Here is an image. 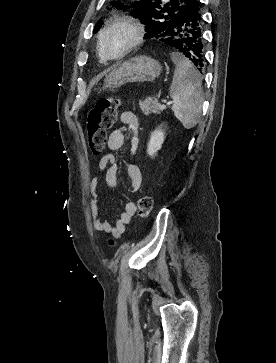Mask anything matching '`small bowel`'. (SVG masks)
I'll list each match as a JSON object with an SVG mask.
<instances>
[{"label":"small bowel","instance_id":"obj_1","mask_svg":"<svg viewBox=\"0 0 276 363\" xmlns=\"http://www.w3.org/2000/svg\"><path fill=\"white\" fill-rule=\"evenodd\" d=\"M121 127L113 130L108 137V148L117 151L124 144V127H128L133 132L131 139V154H135L138 144L139 121L137 116L131 111H124L120 114ZM99 169L104 171V179L107 186L115 188L118 184V167L116 157L113 154L105 155L99 162ZM126 169L131 181L132 188L138 191L143 184L142 175L136 163L130 159L126 163ZM99 177H94L90 182V210L93 226L97 231L108 233L114 237H120L126 230V226L131 222L136 213V205L133 201H128L122 213L114 225L103 220L102 212L99 207L97 188Z\"/></svg>","mask_w":276,"mask_h":363}]
</instances>
